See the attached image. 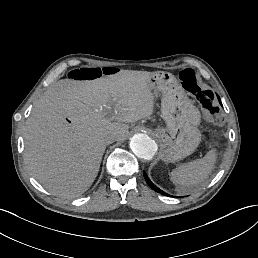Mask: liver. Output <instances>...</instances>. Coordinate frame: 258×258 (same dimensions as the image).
<instances>
[{
  "label": "liver",
  "mask_w": 258,
  "mask_h": 258,
  "mask_svg": "<svg viewBox=\"0 0 258 258\" xmlns=\"http://www.w3.org/2000/svg\"><path fill=\"white\" fill-rule=\"evenodd\" d=\"M155 72L122 70L95 80L63 79L34 104L24 129V161L50 193L72 199L94 181L105 151L103 136L122 140L129 125L152 113L148 80ZM117 112L110 122L108 107ZM108 116V117H107Z\"/></svg>",
  "instance_id": "1"
}]
</instances>
